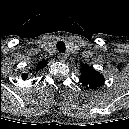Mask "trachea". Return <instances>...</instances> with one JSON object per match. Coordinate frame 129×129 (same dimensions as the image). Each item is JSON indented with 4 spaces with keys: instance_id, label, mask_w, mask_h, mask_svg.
<instances>
[{
    "instance_id": "obj_1",
    "label": "trachea",
    "mask_w": 129,
    "mask_h": 129,
    "mask_svg": "<svg viewBox=\"0 0 129 129\" xmlns=\"http://www.w3.org/2000/svg\"><path fill=\"white\" fill-rule=\"evenodd\" d=\"M59 52H65V43L63 41H59L56 45Z\"/></svg>"
}]
</instances>
